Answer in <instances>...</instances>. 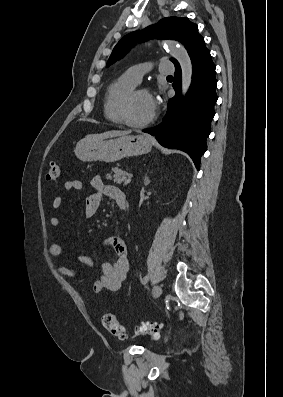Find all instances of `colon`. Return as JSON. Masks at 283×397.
<instances>
[{
    "label": "colon",
    "mask_w": 283,
    "mask_h": 397,
    "mask_svg": "<svg viewBox=\"0 0 283 397\" xmlns=\"http://www.w3.org/2000/svg\"><path fill=\"white\" fill-rule=\"evenodd\" d=\"M61 164L51 163L46 173L47 181H56L61 173ZM102 325L117 339H125L127 337L124 327L119 323L117 318L111 313H105L102 316ZM162 331V325L155 322H146L139 327V332L142 334H149L158 336Z\"/></svg>",
    "instance_id": "obj_1"
}]
</instances>
